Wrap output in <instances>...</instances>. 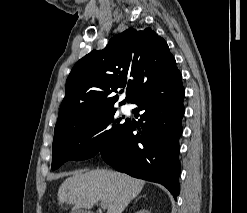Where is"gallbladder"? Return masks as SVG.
<instances>
[{
	"instance_id": "bac80fb5",
	"label": "gallbladder",
	"mask_w": 247,
	"mask_h": 213,
	"mask_svg": "<svg viewBox=\"0 0 247 213\" xmlns=\"http://www.w3.org/2000/svg\"><path fill=\"white\" fill-rule=\"evenodd\" d=\"M71 213H90L89 211L83 210V209H75L73 212Z\"/></svg>"
}]
</instances>
